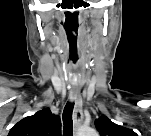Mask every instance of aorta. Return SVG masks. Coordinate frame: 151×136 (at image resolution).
I'll use <instances>...</instances> for the list:
<instances>
[{
  "mask_svg": "<svg viewBox=\"0 0 151 136\" xmlns=\"http://www.w3.org/2000/svg\"><path fill=\"white\" fill-rule=\"evenodd\" d=\"M90 134L93 135V136H95V135H96V132H91Z\"/></svg>",
  "mask_w": 151,
  "mask_h": 136,
  "instance_id": "obj_1",
  "label": "aorta"
}]
</instances>
